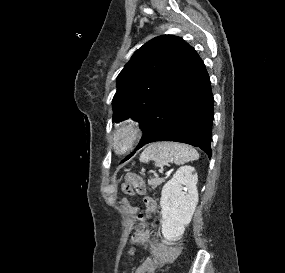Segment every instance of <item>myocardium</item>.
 Here are the masks:
<instances>
[{
  "label": "myocardium",
  "mask_w": 285,
  "mask_h": 273,
  "mask_svg": "<svg viewBox=\"0 0 285 273\" xmlns=\"http://www.w3.org/2000/svg\"><path fill=\"white\" fill-rule=\"evenodd\" d=\"M141 137L140 124L133 119H125L115 126L110 137V145L116 154L124 155L137 145Z\"/></svg>",
  "instance_id": "obj_1"
}]
</instances>
